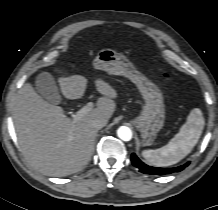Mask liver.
I'll return each instance as SVG.
<instances>
[{
  "mask_svg": "<svg viewBox=\"0 0 218 210\" xmlns=\"http://www.w3.org/2000/svg\"><path fill=\"white\" fill-rule=\"evenodd\" d=\"M62 94L67 99L84 95L87 79L82 75L59 77ZM102 95L96 108L75 120L64 115L62 107L45 101L27 83L20 90L13 107V121L19 145L28 161L40 172L63 177L82 170L90 161L97 129L94 119L109 120L113 115L116 90L96 79Z\"/></svg>",
  "mask_w": 218,
  "mask_h": 210,
  "instance_id": "1",
  "label": "liver"
}]
</instances>
